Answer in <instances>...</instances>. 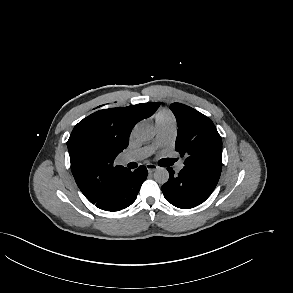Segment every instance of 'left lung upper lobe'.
Here are the masks:
<instances>
[{
    "mask_svg": "<svg viewBox=\"0 0 293 293\" xmlns=\"http://www.w3.org/2000/svg\"><path fill=\"white\" fill-rule=\"evenodd\" d=\"M178 133L175 149L185 158L184 164L208 168L221 174L222 139L213 122L197 110L181 103H173Z\"/></svg>",
    "mask_w": 293,
    "mask_h": 293,
    "instance_id": "5c2ea615",
    "label": "left lung upper lobe"
}]
</instances>
